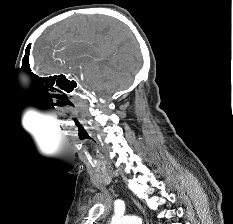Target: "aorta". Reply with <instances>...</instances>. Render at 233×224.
<instances>
[{"mask_svg": "<svg viewBox=\"0 0 233 224\" xmlns=\"http://www.w3.org/2000/svg\"><path fill=\"white\" fill-rule=\"evenodd\" d=\"M111 224H142V222L137 216H116Z\"/></svg>", "mask_w": 233, "mask_h": 224, "instance_id": "762f6f07", "label": "aorta"}]
</instances>
